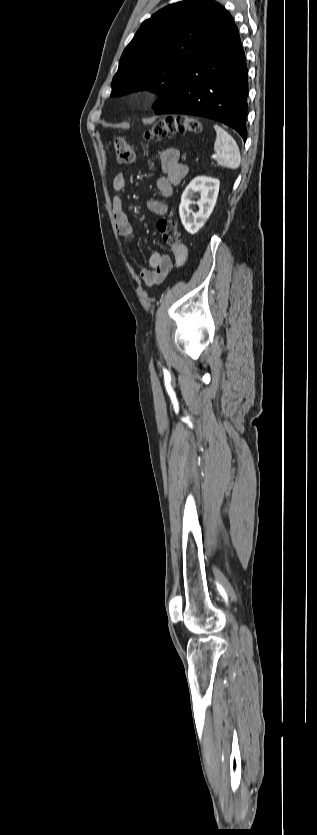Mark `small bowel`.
I'll return each mask as SVG.
<instances>
[{"mask_svg": "<svg viewBox=\"0 0 317 835\" xmlns=\"http://www.w3.org/2000/svg\"><path fill=\"white\" fill-rule=\"evenodd\" d=\"M160 163L164 176L156 181V187L161 196L167 198L173 193V186L179 185L188 173V166L179 160V151L176 148H166L159 152ZM126 188V177L124 173H118L113 180V189L117 193L112 204V216L115 228L120 236L126 240H133L135 233L130 220L123 209L121 193ZM148 209L156 214L163 215L167 212V205L159 199H150L147 202ZM173 259L166 254L155 252L151 254L148 265L140 272V278L147 285H154L163 280L167 273L174 267L183 265L187 259L188 251L185 245L172 247Z\"/></svg>", "mask_w": 317, "mask_h": 835, "instance_id": "obj_1", "label": "small bowel"}]
</instances>
